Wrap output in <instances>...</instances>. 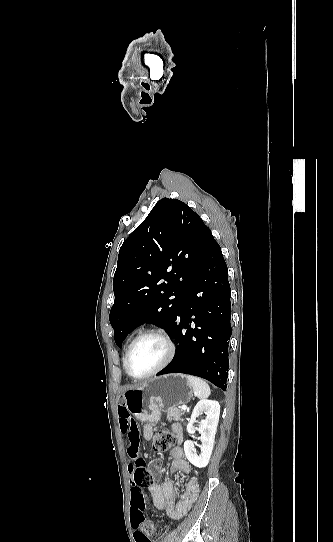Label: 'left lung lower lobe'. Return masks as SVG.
Returning a JSON list of instances; mask_svg holds the SVG:
<instances>
[{
    "instance_id": "left-lung-lower-lobe-1",
    "label": "left lung lower lobe",
    "mask_w": 333,
    "mask_h": 542,
    "mask_svg": "<svg viewBox=\"0 0 333 542\" xmlns=\"http://www.w3.org/2000/svg\"><path fill=\"white\" fill-rule=\"evenodd\" d=\"M230 285L227 265L213 239L184 295L183 310L172 330L176 352L157 375L185 373L226 390L231 336ZM191 316H195L191 319Z\"/></svg>"
}]
</instances>
